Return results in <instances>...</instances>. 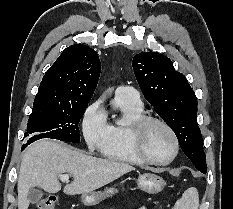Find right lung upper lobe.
<instances>
[{"label":"right lung upper lobe","instance_id":"cb5924a9","mask_svg":"<svg viewBox=\"0 0 233 209\" xmlns=\"http://www.w3.org/2000/svg\"><path fill=\"white\" fill-rule=\"evenodd\" d=\"M100 72V60L92 48L69 46L45 73L33 109L65 110L88 104Z\"/></svg>","mask_w":233,"mask_h":209}]
</instances>
